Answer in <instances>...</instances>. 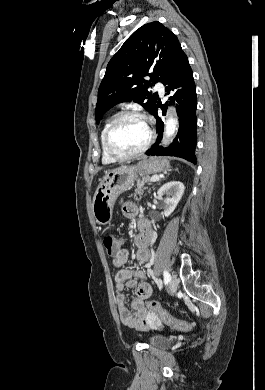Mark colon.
<instances>
[{
    "label": "colon",
    "instance_id": "5ec220e1",
    "mask_svg": "<svg viewBox=\"0 0 265 390\" xmlns=\"http://www.w3.org/2000/svg\"><path fill=\"white\" fill-rule=\"evenodd\" d=\"M103 243L109 255L113 256L117 252V238L113 235H107L104 238ZM146 306L149 313L156 317L161 326L166 325L170 328L180 331H190L196 326L194 322H188L173 318L156 301L148 300L146 302Z\"/></svg>",
    "mask_w": 265,
    "mask_h": 390
}]
</instances>
